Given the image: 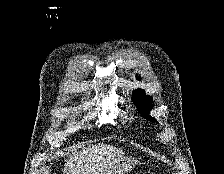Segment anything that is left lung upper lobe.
<instances>
[{"label":"left lung upper lobe","mask_w":224,"mask_h":174,"mask_svg":"<svg viewBox=\"0 0 224 174\" xmlns=\"http://www.w3.org/2000/svg\"><path fill=\"white\" fill-rule=\"evenodd\" d=\"M139 80H141L140 77H138ZM132 101L137 106L139 112L142 114V116L152 122H155L156 120L149 115V111L153 107V99L150 96H146L145 91L142 89H137L132 93Z\"/></svg>","instance_id":"left-lung-upper-lobe-1"}]
</instances>
